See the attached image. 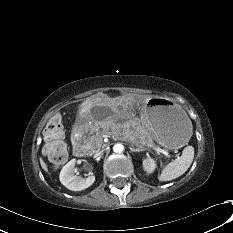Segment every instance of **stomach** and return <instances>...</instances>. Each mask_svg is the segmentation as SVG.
Masks as SVG:
<instances>
[{
    "label": "stomach",
    "mask_w": 233,
    "mask_h": 233,
    "mask_svg": "<svg viewBox=\"0 0 233 233\" xmlns=\"http://www.w3.org/2000/svg\"><path fill=\"white\" fill-rule=\"evenodd\" d=\"M137 97L121 93L115 96L92 97L81 106L85 120L104 122L110 118L121 120L132 115L139 107ZM144 116L154 139L167 149L184 146L192 134V123L187 114L172 101L152 97L144 108Z\"/></svg>",
    "instance_id": "obj_1"
}]
</instances>
